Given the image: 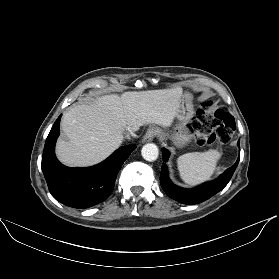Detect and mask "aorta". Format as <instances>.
<instances>
[{"mask_svg": "<svg viewBox=\"0 0 279 279\" xmlns=\"http://www.w3.org/2000/svg\"><path fill=\"white\" fill-rule=\"evenodd\" d=\"M141 154L146 161L151 162L158 158L159 150L154 143H148L142 147Z\"/></svg>", "mask_w": 279, "mask_h": 279, "instance_id": "aorta-1", "label": "aorta"}]
</instances>
